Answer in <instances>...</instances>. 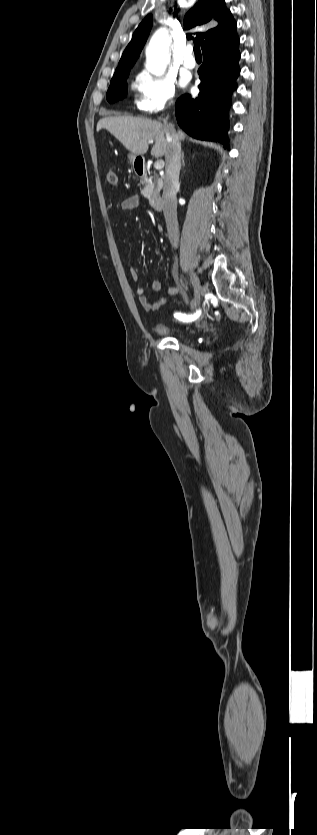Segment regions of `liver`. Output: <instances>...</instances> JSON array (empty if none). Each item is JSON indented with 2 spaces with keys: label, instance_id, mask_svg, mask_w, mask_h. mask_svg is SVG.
Returning a JSON list of instances; mask_svg holds the SVG:
<instances>
[{
  "label": "liver",
  "instance_id": "1",
  "mask_svg": "<svg viewBox=\"0 0 317 835\" xmlns=\"http://www.w3.org/2000/svg\"><path fill=\"white\" fill-rule=\"evenodd\" d=\"M101 129L110 132L134 155L145 154L151 140H155L151 155L161 157L167 151L166 125L161 122L131 116H109L98 121L96 130L99 132ZM177 135L180 140L186 137L182 130Z\"/></svg>",
  "mask_w": 317,
  "mask_h": 835
}]
</instances>
